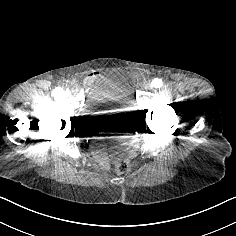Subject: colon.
Segmentation results:
<instances>
[{
  "mask_svg": "<svg viewBox=\"0 0 236 236\" xmlns=\"http://www.w3.org/2000/svg\"><path fill=\"white\" fill-rule=\"evenodd\" d=\"M113 163L118 173H125L130 169L131 163L128 156L121 150H115L113 153Z\"/></svg>",
  "mask_w": 236,
  "mask_h": 236,
  "instance_id": "1",
  "label": "colon"
}]
</instances>
